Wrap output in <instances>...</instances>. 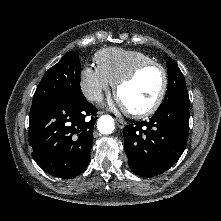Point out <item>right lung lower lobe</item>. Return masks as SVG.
Returning a JSON list of instances; mask_svg holds the SVG:
<instances>
[{
	"label": "right lung lower lobe",
	"instance_id": "obj_1",
	"mask_svg": "<svg viewBox=\"0 0 221 221\" xmlns=\"http://www.w3.org/2000/svg\"><path fill=\"white\" fill-rule=\"evenodd\" d=\"M97 109L86 98L61 97L29 115L32 157L52 176L69 179L87 167Z\"/></svg>",
	"mask_w": 221,
	"mask_h": 221
}]
</instances>
